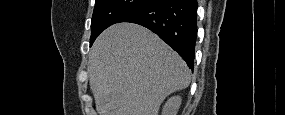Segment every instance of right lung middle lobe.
I'll return each mask as SVG.
<instances>
[{"mask_svg":"<svg viewBox=\"0 0 285 115\" xmlns=\"http://www.w3.org/2000/svg\"><path fill=\"white\" fill-rule=\"evenodd\" d=\"M149 1L150 0H95L91 23L92 33L90 46L103 30Z\"/></svg>","mask_w":285,"mask_h":115,"instance_id":"dd1d6c3e","label":"right lung middle lobe"}]
</instances>
